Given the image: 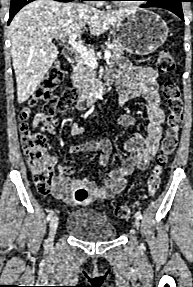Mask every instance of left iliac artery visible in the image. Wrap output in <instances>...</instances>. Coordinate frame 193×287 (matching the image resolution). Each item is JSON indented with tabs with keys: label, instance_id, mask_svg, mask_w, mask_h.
Here are the masks:
<instances>
[{
	"label": "left iliac artery",
	"instance_id": "1",
	"mask_svg": "<svg viewBox=\"0 0 193 287\" xmlns=\"http://www.w3.org/2000/svg\"><path fill=\"white\" fill-rule=\"evenodd\" d=\"M135 216H136L138 219H142V214H141L140 211H137V212L135 213Z\"/></svg>",
	"mask_w": 193,
	"mask_h": 287
}]
</instances>
